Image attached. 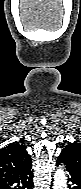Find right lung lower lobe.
I'll return each mask as SVG.
<instances>
[{
	"label": "right lung lower lobe",
	"mask_w": 81,
	"mask_h": 189,
	"mask_svg": "<svg viewBox=\"0 0 81 189\" xmlns=\"http://www.w3.org/2000/svg\"><path fill=\"white\" fill-rule=\"evenodd\" d=\"M32 161L0 178V189H33Z\"/></svg>",
	"instance_id": "1"
}]
</instances>
